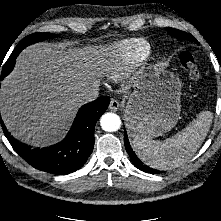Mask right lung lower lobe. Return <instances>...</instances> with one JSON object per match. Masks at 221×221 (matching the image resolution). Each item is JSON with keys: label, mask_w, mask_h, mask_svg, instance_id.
<instances>
[{"label": "right lung lower lobe", "mask_w": 221, "mask_h": 221, "mask_svg": "<svg viewBox=\"0 0 221 221\" xmlns=\"http://www.w3.org/2000/svg\"><path fill=\"white\" fill-rule=\"evenodd\" d=\"M25 47L26 43H23L22 40L14 49L4 67L8 63L10 66H14L15 59ZM109 103L110 99L104 96L82 106L65 139L50 147L32 148L17 142L5 128L4 133L14 150L31 166L48 173L66 175L80 169L92 153L96 122L106 111ZM1 123L3 125V122Z\"/></svg>", "instance_id": "obj_1"}]
</instances>
